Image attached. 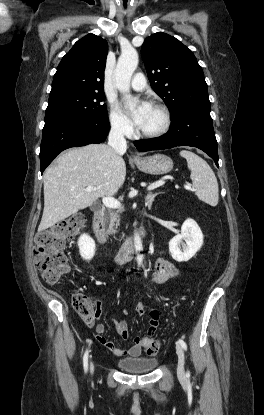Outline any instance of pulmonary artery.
Returning <instances> with one entry per match:
<instances>
[{"label":"pulmonary artery","mask_w":264,"mask_h":415,"mask_svg":"<svg viewBox=\"0 0 264 415\" xmlns=\"http://www.w3.org/2000/svg\"><path fill=\"white\" fill-rule=\"evenodd\" d=\"M131 87L136 91H143L147 87L146 79L142 73L134 74L131 82Z\"/></svg>","instance_id":"e3ab8cb5"}]
</instances>
